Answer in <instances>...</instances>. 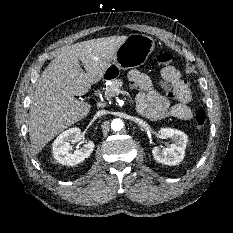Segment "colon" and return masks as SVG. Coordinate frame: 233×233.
<instances>
[{"mask_svg":"<svg viewBox=\"0 0 233 233\" xmlns=\"http://www.w3.org/2000/svg\"><path fill=\"white\" fill-rule=\"evenodd\" d=\"M157 62L160 65V76L170 98L176 99L177 92L174 86L180 81L181 75L179 71L172 65V57L168 53L158 55ZM194 121L197 129H203L207 123V115L204 110H199Z\"/></svg>","mask_w":233,"mask_h":233,"instance_id":"1","label":"colon"}]
</instances>
